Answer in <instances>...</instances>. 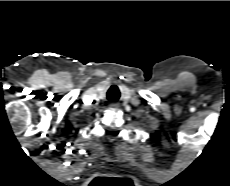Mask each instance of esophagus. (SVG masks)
Here are the masks:
<instances>
[{
  "label": "esophagus",
  "instance_id": "esophagus-1",
  "mask_svg": "<svg viewBox=\"0 0 230 186\" xmlns=\"http://www.w3.org/2000/svg\"><path fill=\"white\" fill-rule=\"evenodd\" d=\"M119 105L117 103L110 104V108L113 110H118Z\"/></svg>",
  "mask_w": 230,
  "mask_h": 186
}]
</instances>
